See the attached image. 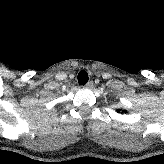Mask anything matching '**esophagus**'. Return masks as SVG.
<instances>
[{"instance_id": "34e87169", "label": "esophagus", "mask_w": 164, "mask_h": 164, "mask_svg": "<svg viewBox=\"0 0 164 164\" xmlns=\"http://www.w3.org/2000/svg\"><path fill=\"white\" fill-rule=\"evenodd\" d=\"M93 86H94L93 81H89V82L86 84V88H88V89L93 88Z\"/></svg>"}]
</instances>
